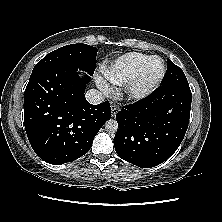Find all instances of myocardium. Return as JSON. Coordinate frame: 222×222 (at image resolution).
Segmentation results:
<instances>
[{
  "instance_id": "f54148a6",
  "label": "myocardium",
  "mask_w": 222,
  "mask_h": 222,
  "mask_svg": "<svg viewBox=\"0 0 222 222\" xmlns=\"http://www.w3.org/2000/svg\"><path fill=\"white\" fill-rule=\"evenodd\" d=\"M154 60H160L162 63V70L160 74L153 78V79H147V72L151 65V63ZM166 73V64L164 60L159 56H152L141 68L139 73L133 78L127 85L126 93L128 97L132 100L139 101L146 97H148L150 94H152L157 87L162 82L164 76Z\"/></svg>"
}]
</instances>
